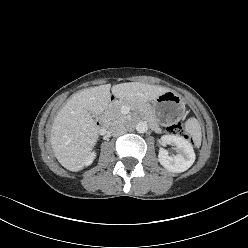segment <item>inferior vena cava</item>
<instances>
[{"label":"inferior vena cava","mask_w":248,"mask_h":248,"mask_svg":"<svg viewBox=\"0 0 248 248\" xmlns=\"http://www.w3.org/2000/svg\"><path fill=\"white\" fill-rule=\"evenodd\" d=\"M109 130L113 136H120L126 132L125 126L120 122H114Z\"/></svg>","instance_id":"inferior-vena-cava-1"}]
</instances>
